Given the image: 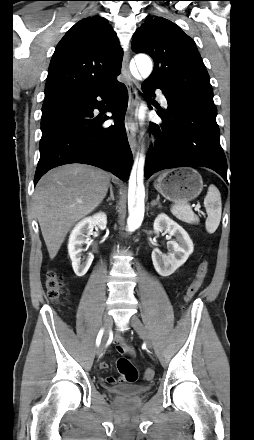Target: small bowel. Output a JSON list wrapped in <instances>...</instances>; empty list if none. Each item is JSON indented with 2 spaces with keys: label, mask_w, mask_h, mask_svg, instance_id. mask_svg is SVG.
Masks as SVG:
<instances>
[{
  "label": "small bowel",
  "mask_w": 254,
  "mask_h": 440,
  "mask_svg": "<svg viewBox=\"0 0 254 440\" xmlns=\"http://www.w3.org/2000/svg\"><path fill=\"white\" fill-rule=\"evenodd\" d=\"M114 342H115V345H116V348H117V351L119 352V353H128V354H134V349H133V347L132 346H130L126 341H125V339L122 337V336H120V335H116L115 336V339H114ZM109 367V365H108V363L107 362H105V361H102L101 363H100V368L101 369H107ZM124 381V379L123 378H115V377H112V376H109V377H106L105 378V382L107 383V384H115V383H121V382H123Z\"/></svg>",
  "instance_id": "obj_1"
}]
</instances>
